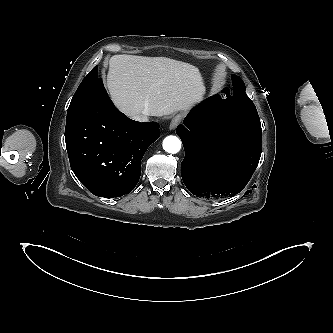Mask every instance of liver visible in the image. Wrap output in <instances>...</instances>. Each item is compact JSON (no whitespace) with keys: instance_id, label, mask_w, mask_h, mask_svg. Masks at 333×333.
I'll list each match as a JSON object with an SVG mask.
<instances>
[{"instance_id":"1","label":"liver","mask_w":333,"mask_h":333,"mask_svg":"<svg viewBox=\"0 0 333 333\" xmlns=\"http://www.w3.org/2000/svg\"><path fill=\"white\" fill-rule=\"evenodd\" d=\"M107 87L114 104L129 117L143 112L161 117L186 111L205 92L195 66L166 57L134 55L111 57Z\"/></svg>"}]
</instances>
